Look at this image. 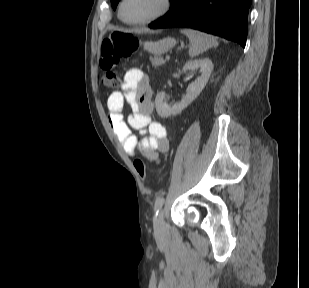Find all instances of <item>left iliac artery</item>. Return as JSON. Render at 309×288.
<instances>
[{"instance_id":"obj_1","label":"left iliac artery","mask_w":309,"mask_h":288,"mask_svg":"<svg viewBox=\"0 0 309 288\" xmlns=\"http://www.w3.org/2000/svg\"><path fill=\"white\" fill-rule=\"evenodd\" d=\"M164 203V198L163 197H158L155 201V210L156 214L158 213V210L162 207Z\"/></svg>"}]
</instances>
